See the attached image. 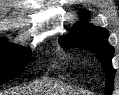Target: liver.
Returning <instances> with one entry per match:
<instances>
[{
	"label": "liver",
	"mask_w": 119,
	"mask_h": 95,
	"mask_svg": "<svg viewBox=\"0 0 119 95\" xmlns=\"http://www.w3.org/2000/svg\"><path fill=\"white\" fill-rule=\"evenodd\" d=\"M38 86H40V88H42V87L53 88L56 91L58 90V92L61 95H67V93L69 91V88L64 87L62 85H58L56 83H40L36 86L29 87L28 90H25V91L23 90V91L3 92V93H0V95H31L30 93H32V90H35ZM68 94H71V93L69 92Z\"/></svg>",
	"instance_id": "obj_1"
}]
</instances>
